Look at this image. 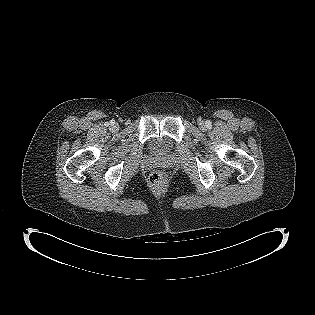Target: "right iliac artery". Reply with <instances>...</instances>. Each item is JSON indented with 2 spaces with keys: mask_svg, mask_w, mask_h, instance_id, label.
<instances>
[{
  "mask_svg": "<svg viewBox=\"0 0 315 315\" xmlns=\"http://www.w3.org/2000/svg\"><path fill=\"white\" fill-rule=\"evenodd\" d=\"M110 123H111V124H113V123H114V121H111Z\"/></svg>",
  "mask_w": 315,
  "mask_h": 315,
  "instance_id": "right-iliac-artery-1",
  "label": "right iliac artery"
}]
</instances>
